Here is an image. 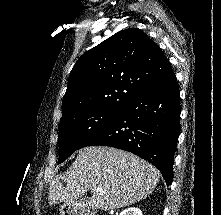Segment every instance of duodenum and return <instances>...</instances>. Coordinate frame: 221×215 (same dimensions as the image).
<instances>
[{
    "label": "duodenum",
    "instance_id": "obj_1",
    "mask_svg": "<svg viewBox=\"0 0 221 215\" xmlns=\"http://www.w3.org/2000/svg\"><path fill=\"white\" fill-rule=\"evenodd\" d=\"M80 215H94V214H92V213H82V214H80Z\"/></svg>",
    "mask_w": 221,
    "mask_h": 215
}]
</instances>
